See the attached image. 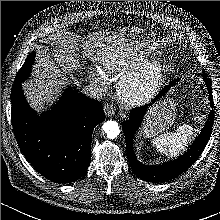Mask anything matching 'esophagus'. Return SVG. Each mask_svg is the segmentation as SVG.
<instances>
[{
  "label": "esophagus",
  "mask_w": 220,
  "mask_h": 220,
  "mask_svg": "<svg viewBox=\"0 0 220 220\" xmlns=\"http://www.w3.org/2000/svg\"><path fill=\"white\" fill-rule=\"evenodd\" d=\"M104 111L107 117H112L115 114V110L110 103L104 104Z\"/></svg>",
  "instance_id": "1"
}]
</instances>
